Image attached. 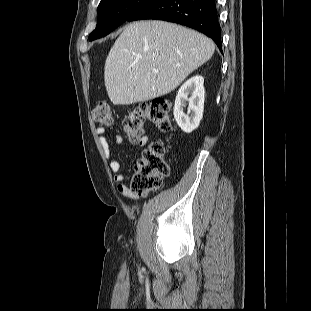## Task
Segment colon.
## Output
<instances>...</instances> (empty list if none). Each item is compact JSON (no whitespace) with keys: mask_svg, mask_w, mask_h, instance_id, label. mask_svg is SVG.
Here are the masks:
<instances>
[{"mask_svg":"<svg viewBox=\"0 0 311 311\" xmlns=\"http://www.w3.org/2000/svg\"><path fill=\"white\" fill-rule=\"evenodd\" d=\"M92 116L94 121L101 126L108 127L113 123L112 108L105 101L97 103ZM147 121L152 122L160 131H169L171 129L170 102L163 97H156L143 103L125 115L123 127L133 141L139 142ZM164 154L165 147L160 141L151 143L143 151L142 158L138 161L131 179L133 192L141 195L161 186L170 173Z\"/></svg>","mask_w":311,"mask_h":311,"instance_id":"1","label":"colon"}]
</instances>
